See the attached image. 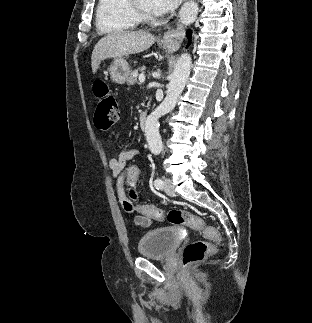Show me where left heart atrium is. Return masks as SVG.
<instances>
[{"label":"left heart atrium","mask_w":312,"mask_h":323,"mask_svg":"<svg viewBox=\"0 0 312 323\" xmlns=\"http://www.w3.org/2000/svg\"><path fill=\"white\" fill-rule=\"evenodd\" d=\"M182 0H152L149 2L150 8H155L156 12H176L178 4Z\"/></svg>","instance_id":"left-heart-atrium-1"}]
</instances>
